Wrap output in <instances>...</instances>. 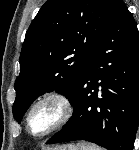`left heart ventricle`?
I'll list each match as a JSON object with an SVG mask.
<instances>
[{
  "label": "left heart ventricle",
  "instance_id": "1",
  "mask_svg": "<svg viewBox=\"0 0 139 150\" xmlns=\"http://www.w3.org/2000/svg\"><path fill=\"white\" fill-rule=\"evenodd\" d=\"M59 111L55 104L46 103L33 114L30 122L31 131L40 134L46 131L58 118Z\"/></svg>",
  "mask_w": 139,
  "mask_h": 150
}]
</instances>
